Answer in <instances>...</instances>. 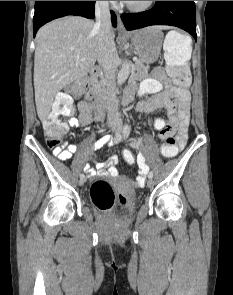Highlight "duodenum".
Returning a JSON list of instances; mask_svg holds the SVG:
<instances>
[{"label":"duodenum","mask_w":233,"mask_h":295,"mask_svg":"<svg viewBox=\"0 0 233 295\" xmlns=\"http://www.w3.org/2000/svg\"><path fill=\"white\" fill-rule=\"evenodd\" d=\"M99 74L98 68H93L89 74L87 82L88 94L93 99L94 112L97 116L102 115L104 100L96 87V81Z\"/></svg>","instance_id":"1"}]
</instances>
